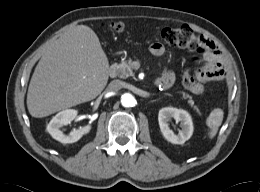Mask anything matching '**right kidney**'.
Here are the masks:
<instances>
[{"label":"right kidney","instance_id":"right-kidney-1","mask_svg":"<svg viewBox=\"0 0 260 192\" xmlns=\"http://www.w3.org/2000/svg\"><path fill=\"white\" fill-rule=\"evenodd\" d=\"M77 115L78 111L75 109H66L59 112L49 122L47 126V131L54 139L64 144L74 143L78 141L84 134H87L90 131V125L74 129L68 135L64 134L60 130L62 126L70 124L71 121H73L77 117Z\"/></svg>","mask_w":260,"mask_h":192}]
</instances>
